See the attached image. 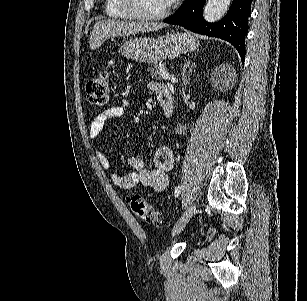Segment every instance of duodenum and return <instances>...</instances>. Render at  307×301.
<instances>
[{
	"mask_svg": "<svg viewBox=\"0 0 307 301\" xmlns=\"http://www.w3.org/2000/svg\"><path fill=\"white\" fill-rule=\"evenodd\" d=\"M158 100L166 117H170L174 112V98L169 90L158 96Z\"/></svg>",
	"mask_w": 307,
	"mask_h": 301,
	"instance_id": "obj_1",
	"label": "duodenum"
}]
</instances>
